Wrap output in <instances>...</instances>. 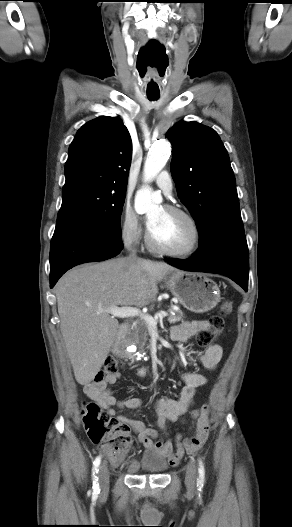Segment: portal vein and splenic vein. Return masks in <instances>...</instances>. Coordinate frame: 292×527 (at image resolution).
<instances>
[{"mask_svg":"<svg viewBox=\"0 0 292 527\" xmlns=\"http://www.w3.org/2000/svg\"><path fill=\"white\" fill-rule=\"evenodd\" d=\"M103 311L111 314L113 317L119 318L140 317L141 320H143L147 326H154L157 324L158 320H162L163 318L168 316L166 312L161 311L159 313H156L155 316L152 317L147 313H142L140 309L134 307L112 306L107 310H100V312Z\"/></svg>","mask_w":292,"mask_h":527,"instance_id":"portal-vein-and-splenic-vein-1","label":"portal vein and splenic vein"}]
</instances>
